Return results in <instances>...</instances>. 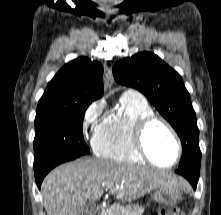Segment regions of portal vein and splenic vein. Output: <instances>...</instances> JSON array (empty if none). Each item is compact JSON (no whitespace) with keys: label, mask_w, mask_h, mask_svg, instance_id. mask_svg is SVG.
<instances>
[{"label":"portal vein and splenic vein","mask_w":221,"mask_h":215,"mask_svg":"<svg viewBox=\"0 0 221 215\" xmlns=\"http://www.w3.org/2000/svg\"><path fill=\"white\" fill-rule=\"evenodd\" d=\"M112 186V184H106L105 188Z\"/></svg>","instance_id":"1"}]
</instances>
